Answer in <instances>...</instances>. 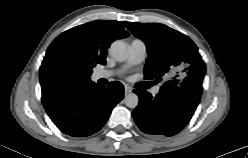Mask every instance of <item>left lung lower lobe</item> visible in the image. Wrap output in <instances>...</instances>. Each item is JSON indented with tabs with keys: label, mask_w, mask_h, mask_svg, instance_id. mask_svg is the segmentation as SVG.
<instances>
[{
	"label": "left lung lower lobe",
	"mask_w": 248,
	"mask_h": 158,
	"mask_svg": "<svg viewBox=\"0 0 248 158\" xmlns=\"http://www.w3.org/2000/svg\"><path fill=\"white\" fill-rule=\"evenodd\" d=\"M139 105L132 112L138 127L146 134L173 136L180 132L192 118L200 97L184 92L150 93L135 89Z\"/></svg>",
	"instance_id": "1"
}]
</instances>
